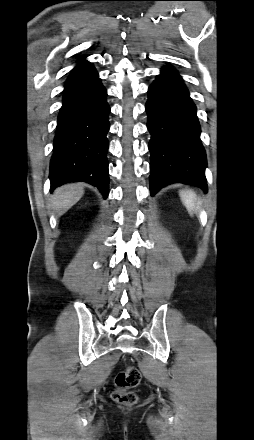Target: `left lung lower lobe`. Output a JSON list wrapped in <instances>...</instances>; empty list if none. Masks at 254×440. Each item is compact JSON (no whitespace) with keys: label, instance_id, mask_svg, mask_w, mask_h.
<instances>
[{"label":"left lung lower lobe","instance_id":"0a47b994","mask_svg":"<svg viewBox=\"0 0 254 440\" xmlns=\"http://www.w3.org/2000/svg\"><path fill=\"white\" fill-rule=\"evenodd\" d=\"M146 103L151 195L171 183H185L207 191L206 154L200 140L196 106L177 70L163 67L149 87Z\"/></svg>","mask_w":254,"mask_h":440}]
</instances>
